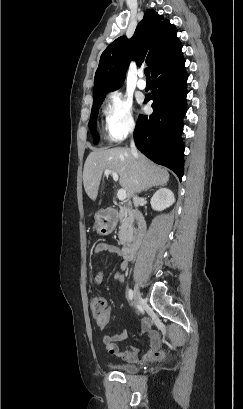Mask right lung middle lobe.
Masks as SVG:
<instances>
[{"label":"right lung middle lobe","instance_id":"right-lung-middle-lobe-1","mask_svg":"<svg viewBox=\"0 0 243 409\" xmlns=\"http://www.w3.org/2000/svg\"><path fill=\"white\" fill-rule=\"evenodd\" d=\"M103 100L104 98L94 100L93 106H92L91 118L89 121V128L93 135L94 144H97L99 142V135H98V132L96 131V119L98 115V109L100 108Z\"/></svg>","mask_w":243,"mask_h":409}]
</instances>
